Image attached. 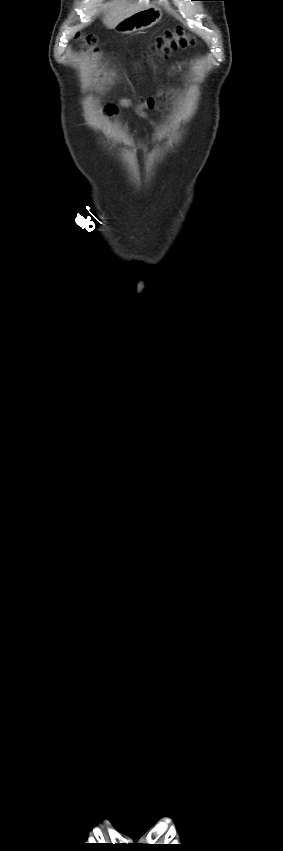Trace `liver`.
<instances>
[{
	"label": "liver",
	"instance_id": "obj_1",
	"mask_svg": "<svg viewBox=\"0 0 283 851\" xmlns=\"http://www.w3.org/2000/svg\"><path fill=\"white\" fill-rule=\"evenodd\" d=\"M150 6L151 5L149 4L148 0H139L135 2H127L126 0H113L110 3L106 4V10L103 16V23L108 28H114V26L125 17H128L133 13L148 8Z\"/></svg>",
	"mask_w": 283,
	"mask_h": 851
}]
</instances>
